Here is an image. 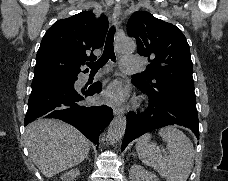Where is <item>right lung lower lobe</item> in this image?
Listing matches in <instances>:
<instances>
[{"label": "right lung lower lobe", "mask_w": 228, "mask_h": 181, "mask_svg": "<svg viewBox=\"0 0 228 181\" xmlns=\"http://www.w3.org/2000/svg\"><path fill=\"white\" fill-rule=\"evenodd\" d=\"M77 76L32 83L24 123L38 118H58L70 123L90 141L97 143L99 134L112 121L113 111L106 105L91 106L88 96L99 93L100 82L88 87H74Z\"/></svg>", "instance_id": "right-lung-lower-lobe-1"}]
</instances>
